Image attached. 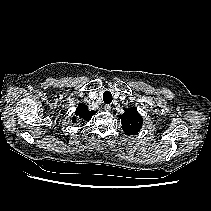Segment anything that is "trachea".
I'll return each instance as SVG.
<instances>
[{
    "label": "trachea",
    "instance_id": "trachea-1",
    "mask_svg": "<svg viewBox=\"0 0 211 211\" xmlns=\"http://www.w3.org/2000/svg\"><path fill=\"white\" fill-rule=\"evenodd\" d=\"M112 94L109 91L103 93V101L105 104H110L112 102Z\"/></svg>",
    "mask_w": 211,
    "mask_h": 211
}]
</instances>
